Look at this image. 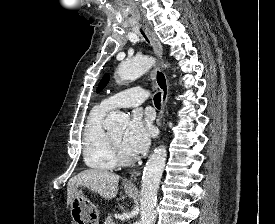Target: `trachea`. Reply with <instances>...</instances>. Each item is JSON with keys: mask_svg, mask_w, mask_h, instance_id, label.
I'll list each match as a JSON object with an SVG mask.
<instances>
[{"mask_svg": "<svg viewBox=\"0 0 275 224\" xmlns=\"http://www.w3.org/2000/svg\"><path fill=\"white\" fill-rule=\"evenodd\" d=\"M160 101H161V93H157L154 96V104L157 108H160Z\"/></svg>", "mask_w": 275, "mask_h": 224, "instance_id": "3493384b", "label": "trachea"}]
</instances>
